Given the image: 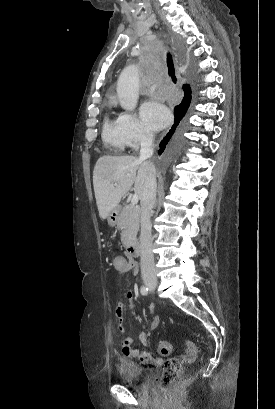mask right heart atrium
<instances>
[{
	"label": "right heart atrium",
	"instance_id": "right-heart-atrium-1",
	"mask_svg": "<svg viewBox=\"0 0 275 409\" xmlns=\"http://www.w3.org/2000/svg\"><path fill=\"white\" fill-rule=\"evenodd\" d=\"M118 121L126 146L132 151L137 150L139 146L150 141L153 137V132L147 123L132 113L121 114Z\"/></svg>",
	"mask_w": 275,
	"mask_h": 409
}]
</instances>
